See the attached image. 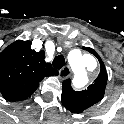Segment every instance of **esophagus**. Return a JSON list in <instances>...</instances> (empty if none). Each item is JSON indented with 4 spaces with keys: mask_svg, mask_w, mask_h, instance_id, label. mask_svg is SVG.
Wrapping results in <instances>:
<instances>
[{
    "mask_svg": "<svg viewBox=\"0 0 124 124\" xmlns=\"http://www.w3.org/2000/svg\"><path fill=\"white\" fill-rule=\"evenodd\" d=\"M71 75V69L69 66H65L59 70L60 79H66Z\"/></svg>",
    "mask_w": 124,
    "mask_h": 124,
    "instance_id": "1",
    "label": "esophagus"
}]
</instances>
